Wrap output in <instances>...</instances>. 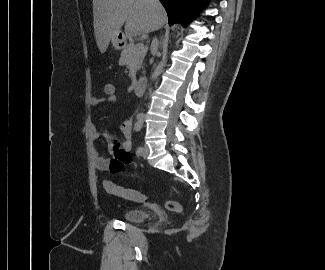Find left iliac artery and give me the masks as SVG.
Returning <instances> with one entry per match:
<instances>
[{
  "label": "left iliac artery",
  "mask_w": 325,
  "mask_h": 270,
  "mask_svg": "<svg viewBox=\"0 0 325 270\" xmlns=\"http://www.w3.org/2000/svg\"><path fill=\"white\" fill-rule=\"evenodd\" d=\"M141 128H142V122H137V123L135 124V127H134L135 131L138 132V131L141 130ZM142 151H143V147H142V146H139V147L137 148V153H138V154H141Z\"/></svg>",
  "instance_id": "44dca946"
}]
</instances>
